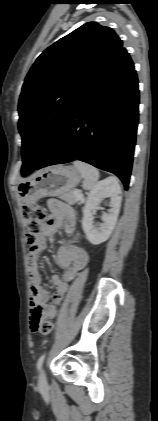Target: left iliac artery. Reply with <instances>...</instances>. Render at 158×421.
Listing matches in <instances>:
<instances>
[{
  "label": "left iliac artery",
  "instance_id": "44dca946",
  "mask_svg": "<svg viewBox=\"0 0 158 421\" xmlns=\"http://www.w3.org/2000/svg\"><path fill=\"white\" fill-rule=\"evenodd\" d=\"M46 353H44L37 361V369L39 370L42 367V364L44 362Z\"/></svg>",
  "mask_w": 158,
  "mask_h": 421
}]
</instances>
